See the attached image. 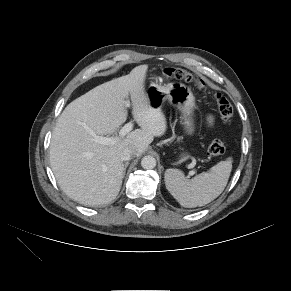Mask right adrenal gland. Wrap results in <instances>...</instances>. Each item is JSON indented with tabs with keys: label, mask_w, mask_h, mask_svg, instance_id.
Segmentation results:
<instances>
[{
	"label": "right adrenal gland",
	"mask_w": 291,
	"mask_h": 291,
	"mask_svg": "<svg viewBox=\"0 0 291 291\" xmlns=\"http://www.w3.org/2000/svg\"><path fill=\"white\" fill-rule=\"evenodd\" d=\"M128 165H129L128 162H126L125 165H124L123 177H124V175H125V173H126V168L128 167Z\"/></svg>",
	"instance_id": "2a0ac1e0"
}]
</instances>
